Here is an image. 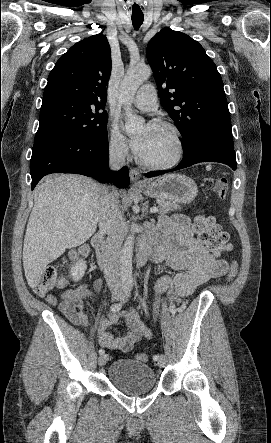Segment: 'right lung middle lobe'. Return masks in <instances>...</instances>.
<instances>
[{
  "mask_svg": "<svg viewBox=\"0 0 271 443\" xmlns=\"http://www.w3.org/2000/svg\"><path fill=\"white\" fill-rule=\"evenodd\" d=\"M102 105L73 99L42 103L35 141L51 134L93 139L106 133L107 113Z\"/></svg>",
  "mask_w": 271,
  "mask_h": 443,
  "instance_id": "1",
  "label": "right lung middle lobe"
}]
</instances>
